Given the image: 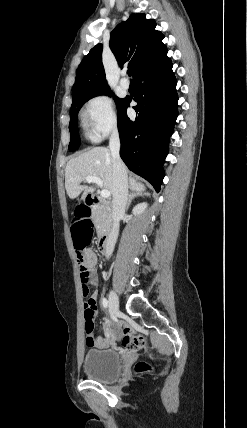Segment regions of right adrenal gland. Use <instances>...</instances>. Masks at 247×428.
I'll return each mask as SVG.
<instances>
[{
    "instance_id": "2a0ac1e0",
    "label": "right adrenal gland",
    "mask_w": 247,
    "mask_h": 428,
    "mask_svg": "<svg viewBox=\"0 0 247 428\" xmlns=\"http://www.w3.org/2000/svg\"><path fill=\"white\" fill-rule=\"evenodd\" d=\"M143 195H148L147 193H142V192H134V193H131L130 195H129V199H128V203H127V209L129 208V206H130V204H131V202H132V200L134 199V198H136V197H138V196H143Z\"/></svg>"
}]
</instances>
